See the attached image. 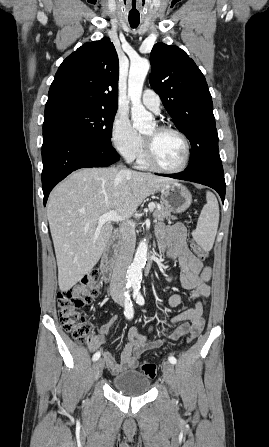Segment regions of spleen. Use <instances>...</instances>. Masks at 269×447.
Segmentation results:
<instances>
[{
    "instance_id": "3e777b00",
    "label": "spleen",
    "mask_w": 269,
    "mask_h": 447,
    "mask_svg": "<svg viewBox=\"0 0 269 447\" xmlns=\"http://www.w3.org/2000/svg\"><path fill=\"white\" fill-rule=\"evenodd\" d=\"M207 204H205L197 222V227L192 235L198 245L210 251L215 241L219 224V204L212 192H206Z\"/></svg>"
}]
</instances>
